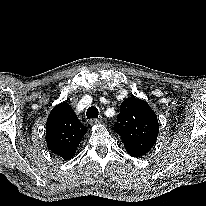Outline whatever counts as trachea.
Returning <instances> with one entry per match:
<instances>
[{
	"mask_svg": "<svg viewBox=\"0 0 206 206\" xmlns=\"http://www.w3.org/2000/svg\"><path fill=\"white\" fill-rule=\"evenodd\" d=\"M99 115V111L95 106H91L87 109L86 116L87 119L97 118Z\"/></svg>",
	"mask_w": 206,
	"mask_h": 206,
	"instance_id": "1",
	"label": "trachea"
}]
</instances>
